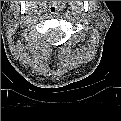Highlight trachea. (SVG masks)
<instances>
[{"mask_svg":"<svg viewBox=\"0 0 121 121\" xmlns=\"http://www.w3.org/2000/svg\"><path fill=\"white\" fill-rule=\"evenodd\" d=\"M48 11L51 14H56L59 12V7L56 3H50L49 7H48Z\"/></svg>","mask_w":121,"mask_h":121,"instance_id":"obj_1","label":"trachea"}]
</instances>
